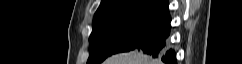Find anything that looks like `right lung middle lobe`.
<instances>
[{"mask_svg":"<svg viewBox=\"0 0 242 64\" xmlns=\"http://www.w3.org/2000/svg\"><path fill=\"white\" fill-rule=\"evenodd\" d=\"M150 11L121 12L93 21L87 64H100L108 56L136 49L165 20Z\"/></svg>","mask_w":242,"mask_h":64,"instance_id":"right-lung-middle-lobe-1","label":"right lung middle lobe"}]
</instances>
